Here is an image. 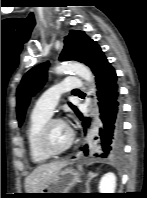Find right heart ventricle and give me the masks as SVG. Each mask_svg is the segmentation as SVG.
<instances>
[{
  "mask_svg": "<svg viewBox=\"0 0 147 198\" xmlns=\"http://www.w3.org/2000/svg\"><path fill=\"white\" fill-rule=\"evenodd\" d=\"M50 116L33 111L30 115L26 131V143L31 161L35 164H42L50 159V156L43 153L39 147L38 138L43 124Z\"/></svg>",
  "mask_w": 147,
  "mask_h": 198,
  "instance_id": "e07e8e85",
  "label": "right heart ventricle"
}]
</instances>
